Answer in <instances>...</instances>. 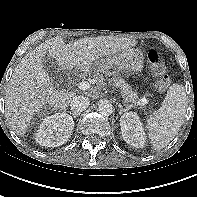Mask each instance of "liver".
I'll list each match as a JSON object with an SVG mask.
<instances>
[{"instance_id":"liver-1","label":"liver","mask_w":197,"mask_h":197,"mask_svg":"<svg viewBox=\"0 0 197 197\" xmlns=\"http://www.w3.org/2000/svg\"><path fill=\"white\" fill-rule=\"evenodd\" d=\"M134 39L116 36L80 38L65 44L61 37L42 43L17 65L7 85L5 116L18 135H25L33 116L49 104L53 110H66L74 93L55 90L44 68L45 56L62 69H88L99 58L134 47Z\"/></svg>"}]
</instances>
